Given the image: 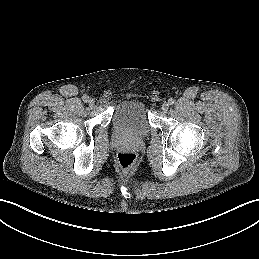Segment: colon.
<instances>
[{
	"mask_svg": "<svg viewBox=\"0 0 259 259\" xmlns=\"http://www.w3.org/2000/svg\"><path fill=\"white\" fill-rule=\"evenodd\" d=\"M116 161L122 171L128 172L136 166L137 156L132 152L123 151L117 154Z\"/></svg>",
	"mask_w": 259,
	"mask_h": 259,
	"instance_id": "obj_1",
	"label": "colon"
}]
</instances>
